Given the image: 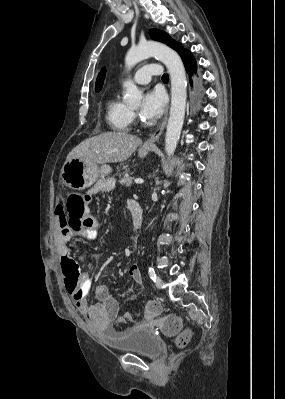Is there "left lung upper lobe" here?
Masks as SVG:
<instances>
[{"label":"left lung upper lobe","mask_w":285,"mask_h":399,"mask_svg":"<svg viewBox=\"0 0 285 399\" xmlns=\"http://www.w3.org/2000/svg\"><path fill=\"white\" fill-rule=\"evenodd\" d=\"M149 34L153 40L162 42L167 44L169 47L173 48L176 50L179 54L185 50L182 46L181 43L174 41L171 39V37L164 31L158 30V29H150Z\"/></svg>","instance_id":"obj_1"}]
</instances>
